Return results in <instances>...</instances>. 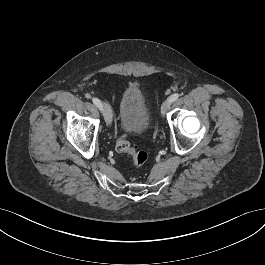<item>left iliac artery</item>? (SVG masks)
Instances as JSON below:
<instances>
[{
  "mask_svg": "<svg viewBox=\"0 0 265 265\" xmlns=\"http://www.w3.org/2000/svg\"><path fill=\"white\" fill-rule=\"evenodd\" d=\"M179 94L178 93H174V94H172L170 97H169V100L171 101V102H174L175 100H177L178 98H179Z\"/></svg>",
  "mask_w": 265,
  "mask_h": 265,
  "instance_id": "obj_1",
  "label": "left iliac artery"
}]
</instances>
